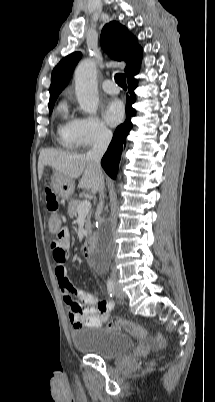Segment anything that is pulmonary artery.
<instances>
[{
    "mask_svg": "<svg viewBox=\"0 0 215 402\" xmlns=\"http://www.w3.org/2000/svg\"><path fill=\"white\" fill-rule=\"evenodd\" d=\"M102 89L108 94H118L119 87L117 84L112 80H105L102 82Z\"/></svg>",
    "mask_w": 215,
    "mask_h": 402,
    "instance_id": "obj_1",
    "label": "pulmonary artery"
}]
</instances>
